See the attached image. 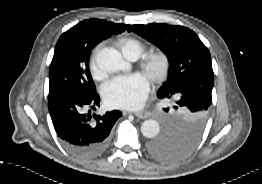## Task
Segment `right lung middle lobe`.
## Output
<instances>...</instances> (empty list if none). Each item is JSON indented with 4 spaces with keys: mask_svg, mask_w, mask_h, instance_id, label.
I'll list each match as a JSON object with an SVG mask.
<instances>
[{
    "mask_svg": "<svg viewBox=\"0 0 262 184\" xmlns=\"http://www.w3.org/2000/svg\"><path fill=\"white\" fill-rule=\"evenodd\" d=\"M105 37L109 36L86 27L63 34L56 44L49 70L50 89L96 93L88 60L91 50Z\"/></svg>",
    "mask_w": 262,
    "mask_h": 184,
    "instance_id": "right-lung-middle-lobe-1",
    "label": "right lung middle lobe"
}]
</instances>
